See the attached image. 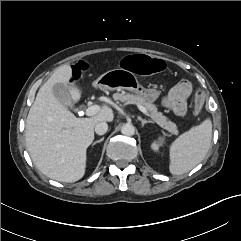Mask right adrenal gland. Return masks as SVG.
I'll use <instances>...</instances> for the list:
<instances>
[{
  "instance_id": "obj_1",
  "label": "right adrenal gland",
  "mask_w": 241,
  "mask_h": 241,
  "mask_svg": "<svg viewBox=\"0 0 241 241\" xmlns=\"http://www.w3.org/2000/svg\"><path fill=\"white\" fill-rule=\"evenodd\" d=\"M104 140V137H102L100 140L94 141L92 146H94L97 143H101Z\"/></svg>"
}]
</instances>
